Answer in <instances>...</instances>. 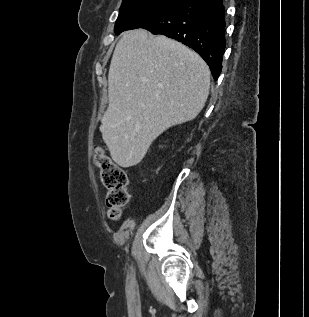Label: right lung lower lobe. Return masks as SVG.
I'll return each mask as SVG.
<instances>
[{"mask_svg":"<svg viewBox=\"0 0 309 317\" xmlns=\"http://www.w3.org/2000/svg\"><path fill=\"white\" fill-rule=\"evenodd\" d=\"M224 13L222 0H180L137 18L125 30L144 28L182 42L207 62L217 80L226 47Z\"/></svg>","mask_w":309,"mask_h":317,"instance_id":"obj_1","label":"right lung lower lobe"}]
</instances>
